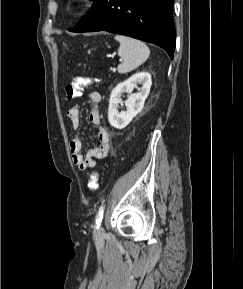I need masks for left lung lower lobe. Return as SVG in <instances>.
<instances>
[{
	"label": "left lung lower lobe",
	"instance_id": "1",
	"mask_svg": "<svg viewBox=\"0 0 243 289\" xmlns=\"http://www.w3.org/2000/svg\"><path fill=\"white\" fill-rule=\"evenodd\" d=\"M174 0H94L88 13L69 31H108L156 44L173 58Z\"/></svg>",
	"mask_w": 243,
	"mask_h": 289
}]
</instances>
